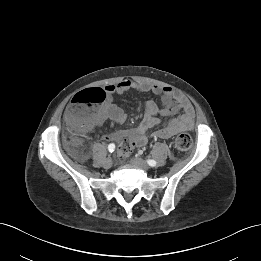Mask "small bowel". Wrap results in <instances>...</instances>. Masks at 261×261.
<instances>
[{
    "label": "small bowel",
    "mask_w": 261,
    "mask_h": 261,
    "mask_svg": "<svg viewBox=\"0 0 261 261\" xmlns=\"http://www.w3.org/2000/svg\"><path fill=\"white\" fill-rule=\"evenodd\" d=\"M130 91L152 93L160 97V103L148 101L140 124L127 130H119L105 137L106 140L121 141L130 139L135 147H142L148 142L147 132L156 128L152 136L158 139H169L179 132L192 130L194 111L189 100L170 87H163L140 81L123 80L117 84L106 86L107 97L91 116V124L87 131L101 126L107 121L121 124L126 120L124 110L114 103L115 94H125ZM158 115L173 116L163 122Z\"/></svg>",
    "instance_id": "1"
}]
</instances>
